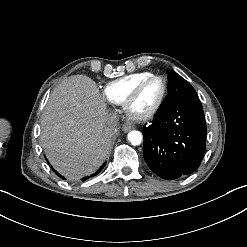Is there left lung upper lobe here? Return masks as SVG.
<instances>
[{
  "mask_svg": "<svg viewBox=\"0 0 247 247\" xmlns=\"http://www.w3.org/2000/svg\"><path fill=\"white\" fill-rule=\"evenodd\" d=\"M168 80V95L162 102L159 109H162L163 107L175 101L199 99L192 85L173 70H168Z\"/></svg>",
  "mask_w": 247,
  "mask_h": 247,
  "instance_id": "5c2ea615",
  "label": "left lung upper lobe"
}]
</instances>
